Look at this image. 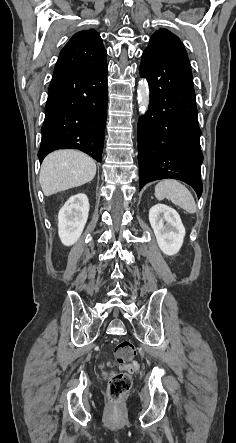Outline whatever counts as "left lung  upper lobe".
<instances>
[{
    "label": "left lung upper lobe",
    "instance_id": "left-lung-upper-lobe-1",
    "mask_svg": "<svg viewBox=\"0 0 236 443\" xmlns=\"http://www.w3.org/2000/svg\"><path fill=\"white\" fill-rule=\"evenodd\" d=\"M161 55L187 57L183 43L173 33L166 29H159L150 38L145 49Z\"/></svg>",
    "mask_w": 236,
    "mask_h": 443
}]
</instances>
